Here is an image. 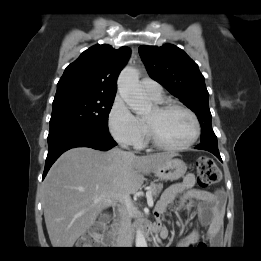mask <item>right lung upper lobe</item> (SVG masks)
Returning a JSON list of instances; mask_svg holds the SVG:
<instances>
[{
    "label": "right lung upper lobe",
    "instance_id": "obj_1",
    "mask_svg": "<svg viewBox=\"0 0 261 261\" xmlns=\"http://www.w3.org/2000/svg\"><path fill=\"white\" fill-rule=\"evenodd\" d=\"M130 49H114L108 44L94 45L64 71L56 94L114 96L117 78L128 62Z\"/></svg>",
    "mask_w": 261,
    "mask_h": 261
}]
</instances>
